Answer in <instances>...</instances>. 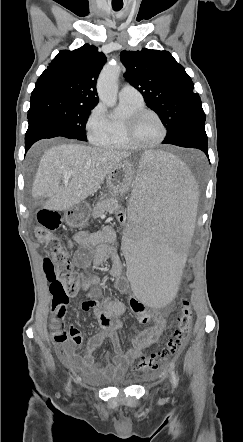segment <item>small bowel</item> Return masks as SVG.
I'll return each instance as SVG.
<instances>
[{
    "mask_svg": "<svg viewBox=\"0 0 243 442\" xmlns=\"http://www.w3.org/2000/svg\"><path fill=\"white\" fill-rule=\"evenodd\" d=\"M115 238L116 233L111 226H104L97 232L87 230L77 232L74 235V242L78 249L74 253V261L78 267L83 268L89 265L97 267L110 260V273L115 280L116 288L126 293L129 291V281L123 274V266L112 246ZM92 281L95 287L86 292L87 300L81 304V310L92 311L102 331L88 340L85 352L80 354L76 351V347L83 341L79 328L70 325L65 329L66 307L53 309L51 329L54 340L57 335L64 337L63 340L55 341L68 365L81 370L83 376L92 382H104L124 374L145 349L157 343L166 329L167 322L164 315L157 310L150 315L146 314L143 304L132 299L131 309L137 315L139 322L144 324L152 320V325L135 335L132 338V347L124 352L117 331L121 328L120 317L126 312V305L104 297L102 289L98 286L99 280L92 278ZM104 340L110 341L114 355L106 356V363L100 365L95 361L94 351Z\"/></svg>",
    "mask_w": 243,
    "mask_h": 442,
    "instance_id": "obj_1",
    "label": "small bowel"
}]
</instances>
